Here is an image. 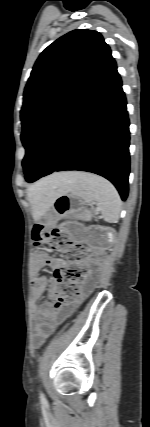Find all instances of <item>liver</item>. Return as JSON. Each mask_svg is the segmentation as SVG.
Wrapping results in <instances>:
<instances>
[{
    "mask_svg": "<svg viewBox=\"0 0 150 427\" xmlns=\"http://www.w3.org/2000/svg\"><path fill=\"white\" fill-rule=\"evenodd\" d=\"M70 177L72 173H55L28 188L34 219H39L46 212L58 193L67 191Z\"/></svg>",
    "mask_w": 150,
    "mask_h": 427,
    "instance_id": "1",
    "label": "liver"
}]
</instances>
